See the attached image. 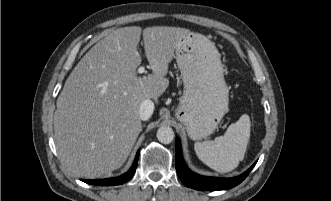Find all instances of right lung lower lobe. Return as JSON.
Segmentation results:
<instances>
[{
  "mask_svg": "<svg viewBox=\"0 0 331 201\" xmlns=\"http://www.w3.org/2000/svg\"><path fill=\"white\" fill-rule=\"evenodd\" d=\"M138 157H139V151L137 152V155L135 157V160H134V163H133V166L131 167V169L127 173H125L119 177L108 178V179H99V180H83V181L88 184L102 185V186H113V185L123 184L133 177V175L135 173V169L137 167Z\"/></svg>",
  "mask_w": 331,
  "mask_h": 201,
  "instance_id": "obj_1",
  "label": "right lung lower lobe"
}]
</instances>
